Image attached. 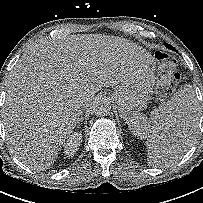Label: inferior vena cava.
Instances as JSON below:
<instances>
[{
	"instance_id": "obj_1",
	"label": "inferior vena cava",
	"mask_w": 203,
	"mask_h": 203,
	"mask_svg": "<svg viewBox=\"0 0 203 203\" xmlns=\"http://www.w3.org/2000/svg\"><path fill=\"white\" fill-rule=\"evenodd\" d=\"M81 104H82V106H83V107H85V106H86L85 102H81Z\"/></svg>"
}]
</instances>
